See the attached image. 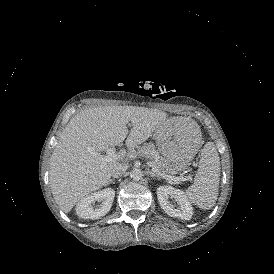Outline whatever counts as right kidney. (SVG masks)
<instances>
[{"mask_svg":"<svg viewBox=\"0 0 274 274\" xmlns=\"http://www.w3.org/2000/svg\"><path fill=\"white\" fill-rule=\"evenodd\" d=\"M115 191L112 188H106L82 198L76 205V214L83 219H99L105 216L111 209ZM101 202L100 206L94 208L91 204Z\"/></svg>","mask_w":274,"mask_h":274,"instance_id":"ca27d5eb","label":"right kidney"}]
</instances>
